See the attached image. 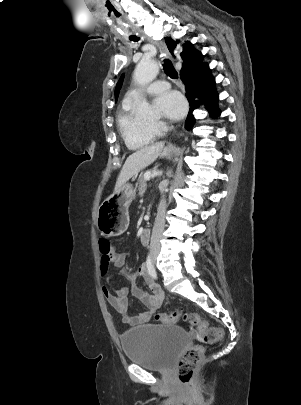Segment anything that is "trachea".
<instances>
[{
    "mask_svg": "<svg viewBox=\"0 0 301 405\" xmlns=\"http://www.w3.org/2000/svg\"><path fill=\"white\" fill-rule=\"evenodd\" d=\"M130 40H131V41H134V42H137V41L139 40V38L136 37V36H131V37H130ZM163 68H164L165 73H166L171 79H177V78H178V73H177V71L175 70V68H174V66H173V64H172V62H171L169 59H167V58L164 59Z\"/></svg>",
    "mask_w": 301,
    "mask_h": 405,
    "instance_id": "trachea-1",
    "label": "trachea"
}]
</instances>
